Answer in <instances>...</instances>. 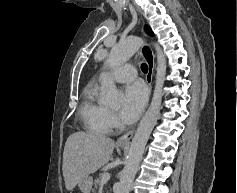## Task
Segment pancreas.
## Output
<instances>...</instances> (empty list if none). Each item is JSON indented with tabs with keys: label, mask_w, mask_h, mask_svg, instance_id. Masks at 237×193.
Wrapping results in <instances>:
<instances>
[{
	"label": "pancreas",
	"mask_w": 237,
	"mask_h": 193,
	"mask_svg": "<svg viewBox=\"0 0 237 193\" xmlns=\"http://www.w3.org/2000/svg\"><path fill=\"white\" fill-rule=\"evenodd\" d=\"M103 174H104V173H100V174H99V178H97V179L95 180V182H94V187H95V189H97L98 186L100 185ZM95 189H94V191H95Z\"/></svg>",
	"instance_id": "pancreas-1"
}]
</instances>
